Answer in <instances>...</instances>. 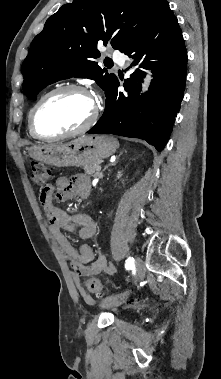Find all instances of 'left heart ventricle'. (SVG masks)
<instances>
[{
    "instance_id": "b2bd125f",
    "label": "left heart ventricle",
    "mask_w": 221,
    "mask_h": 379,
    "mask_svg": "<svg viewBox=\"0 0 221 379\" xmlns=\"http://www.w3.org/2000/svg\"><path fill=\"white\" fill-rule=\"evenodd\" d=\"M93 100L80 92L67 91L47 99L35 117L37 131L53 136L82 125L93 111Z\"/></svg>"
}]
</instances>
